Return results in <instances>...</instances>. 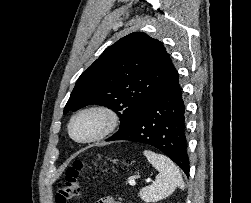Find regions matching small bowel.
Here are the masks:
<instances>
[{
  "label": "small bowel",
  "instance_id": "1",
  "mask_svg": "<svg viewBox=\"0 0 251 203\" xmlns=\"http://www.w3.org/2000/svg\"><path fill=\"white\" fill-rule=\"evenodd\" d=\"M97 203H120V202L116 201L112 197H105L100 199Z\"/></svg>",
  "mask_w": 251,
  "mask_h": 203
}]
</instances>
